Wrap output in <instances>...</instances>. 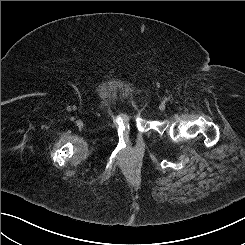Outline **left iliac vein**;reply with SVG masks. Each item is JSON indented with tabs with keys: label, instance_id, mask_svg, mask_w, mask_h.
<instances>
[{
	"label": "left iliac vein",
	"instance_id": "4c4485c4",
	"mask_svg": "<svg viewBox=\"0 0 245 245\" xmlns=\"http://www.w3.org/2000/svg\"><path fill=\"white\" fill-rule=\"evenodd\" d=\"M160 110H164L165 109V104L164 103H161L160 106H159Z\"/></svg>",
	"mask_w": 245,
	"mask_h": 245
}]
</instances>
